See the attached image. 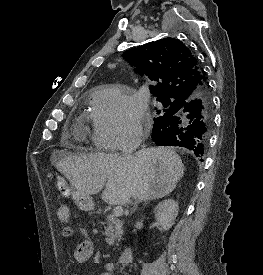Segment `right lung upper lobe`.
<instances>
[{
  "label": "right lung upper lobe",
  "mask_w": 263,
  "mask_h": 275,
  "mask_svg": "<svg viewBox=\"0 0 263 275\" xmlns=\"http://www.w3.org/2000/svg\"><path fill=\"white\" fill-rule=\"evenodd\" d=\"M136 71L157 82L150 91L158 98L176 101L196 94L206 84L196 58L175 38H164L124 52Z\"/></svg>",
  "instance_id": "obj_1"
}]
</instances>
